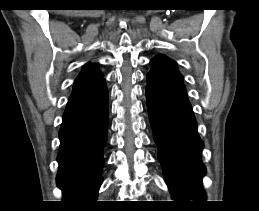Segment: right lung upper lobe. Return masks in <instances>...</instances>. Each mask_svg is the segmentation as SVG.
Returning a JSON list of instances; mask_svg holds the SVG:
<instances>
[{"mask_svg":"<svg viewBox=\"0 0 259 211\" xmlns=\"http://www.w3.org/2000/svg\"><path fill=\"white\" fill-rule=\"evenodd\" d=\"M97 66L98 64L95 65L90 62L84 65L81 73L75 80L70 98L84 95L96 88L100 83L105 81L102 78L103 75Z\"/></svg>","mask_w":259,"mask_h":211,"instance_id":"cb5924a9","label":"right lung upper lobe"}]
</instances>
